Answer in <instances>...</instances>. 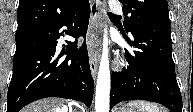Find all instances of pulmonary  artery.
I'll return each instance as SVG.
<instances>
[{
	"label": "pulmonary artery",
	"mask_w": 193,
	"mask_h": 112,
	"mask_svg": "<svg viewBox=\"0 0 193 112\" xmlns=\"http://www.w3.org/2000/svg\"><path fill=\"white\" fill-rule=\"evenodd\" d=\"M110 8L115 14H122V7L116 2H112Z\"/></svg>",
	"instance_id": "e3ab8cb5"
}]
</instances>
